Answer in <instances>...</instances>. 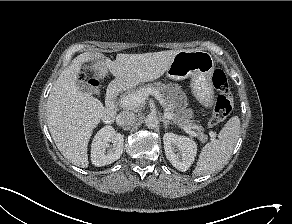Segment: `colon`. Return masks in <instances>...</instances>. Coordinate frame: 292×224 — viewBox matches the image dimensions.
Wrapping results in <instances>:
<instances>
[{
  "mask_svg": "<svg viewBox=\"0 0 292 224\" xmlns=\"http://www.w3.org/2000/svg\"><path fill=\"white\" fill-rule=\"evenodd\" d=\"M82 79L84 76L81 77ZM88 83L97 86L98 81L89 79ZM213 84L218 90L216 104L212 117L209 121L210 126H214L222 122L231 112L233 108V96L230 91L229 82L225 72L222 69H216L213 73Z\"/></svg>",
  "mask_w": 292,
  "mask_h": 224,
  "instance_id": "5ec220e1",
  "label": "colon"
}]
</instances>
